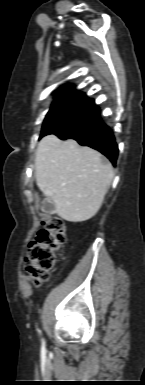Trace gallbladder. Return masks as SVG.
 I'll return each instance as SVG.
<instances>
[{
	"label": "gallbladder",
	"instance_id": "1",
	"mask_svg": "<svg viewBox=\"0 0 145 385\" xmlns=\"http://www.w3.org/2000/svg\"><path fill=\"white\" fill-rule=\"evenodd\" d=\"M41 209L46 214H53L55 207H54V204L52 202L44 200L41 204Z\"/></svg>",
	"mask_w": 145,
	"mask_h": 385
}]
</instances>
